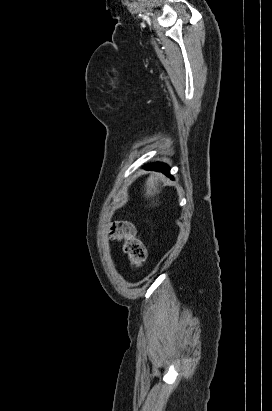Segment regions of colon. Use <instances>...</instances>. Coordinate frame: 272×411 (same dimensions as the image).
<instances>
[{
    "instance_id": "5ec220e1",
    "label": "colon",
    "mask_w": 272,
    "mask_h": 411,
    "mask_svg": "<svg viewBox=\"0 0 272 411\" xmlns=\"http://www.w3.org/2000/svg\"><path fill=\"white\" fill-rule=\"evenodd\" d=\"M111 236L123 244L132 268L138 269L144 264L146 250L142 242L136 237L132 224L121 221L114 223L111 228Z\"/></svg>"
}]
</instances>
